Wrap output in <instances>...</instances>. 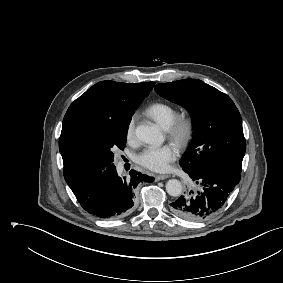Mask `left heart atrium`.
Instances as JSON below:
<instances>
[{"mask_svg":"<svg viewBox=\"0 0 283 283\" xmlns=\"http://www.w3.org/2000/svg\"><path fill=\"white\" fill-rule=\"evenodd\" d=\"M177 155L178 150L173 144L149 146L138 155L137 161L150 170L161 172L169 168Z\"/></svg>","mask_w":283,"mask_h":283,"instance_id":"obj_1","label":"left heart atrium"}]
</instances>
